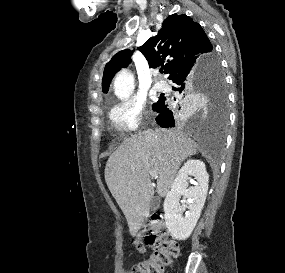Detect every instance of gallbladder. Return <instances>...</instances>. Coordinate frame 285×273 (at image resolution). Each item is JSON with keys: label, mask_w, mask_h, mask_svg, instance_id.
Listing matches in <instances>:
<instances>
[{"label": "gallbladder", "mask_w": 285, "mask_h": 273, "mask_svg": "<svg viewBox=\"0 0 285 273\" xmlns=\"http://www.w3.org/2000/svg\"><path fill=\"white\" fill-rule=\"evenodd\" d=\"M159 202H160L159 196H154V197L152 198V200H151V204H150V205H151V207H152L153 209H155V208L158 207Z\"/></svg>", "instance_id": "gallbladder-1"}]
</instances>
